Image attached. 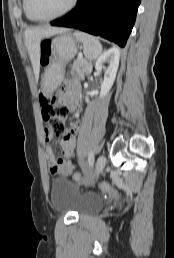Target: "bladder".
Listing matches in <instances>:
<instances>
[{
	"label": "bladder",
	"instance_id": "obj_1",
	"mask_svg": "<svg viewBox=\"0 0 174 258\" xmlns=\"http://www.w3.org/2000/svg\"><path fill=\"white\" fill-rule=\"evenodd\" d=\"M53 206L61 211H73L79 216L96 212L103 206V199L94 194H80L66 178L53 179L50 189Z\"/></svg>",
	"mask_w": 174,
	"mask_h": 258
}]
</instances>
